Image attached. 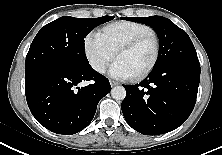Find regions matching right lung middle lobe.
<instances>
[{"mask_svg": "<svg viewBox=\"0 0 222 155\" xmlns=\"http://www.w3.org/2000/svg\"><path fill=\"white\" fill-rule=\"evenodd\" d=\"M113 16L75 18L63 16L45 25L34 38L26 56L25 77L45 68L87 66L84 38Z\"/></svg>", "mask_w": 222, "mask_h": 155, "instance_id": "right-lung-middle-lobe-1", "label": "right lung middle lobe"}]
</instances>
